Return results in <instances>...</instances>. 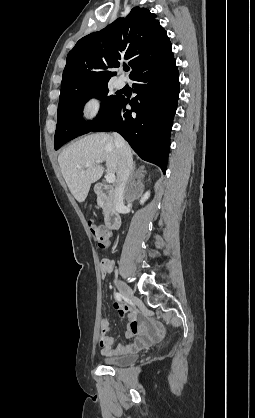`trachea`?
I'll list each match as a JSON object with an SVG mask.
<instances>
[{"label": "trachea", "mask_w": 255, "mask_h": 418, "mask_svg": "<svg viewBox=\"0 0 255 418\" xmlns=\"http://www.w3.org/2000/svg\"><path fill=\"white\" fill-rule=\"evenodd\" d=\"M130 70V68L128 66L124 67V71L128 72Z\"/></svg>", "instance_id": "obj_1"}]
</instances>
